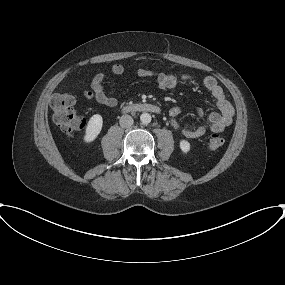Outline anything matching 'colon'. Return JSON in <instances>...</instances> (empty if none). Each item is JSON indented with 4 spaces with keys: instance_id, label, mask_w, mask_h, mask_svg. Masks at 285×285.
<instances>
[{
    "instance_id": "5ec220e1",
    "label": "colon",
    "mask_w": 285,
    "mask_h": 285,
    "mask_svg": "<svg viewBox=\"0 0 285 285\" xmlns=\"http://www.w3.org/2000/svg\"><path fill=\"white\" fill-rule=\"evenodd\" d=\"M117 73L122 69L117 67ZM75 95L66 93L54 94L50 99V106L53 110V120L60 130L68 136H73L85 127V120L74 109ZM224 144V139L218 134H212L208 140V146L212 150L219 149Z\"/></svg>"
}]
</instances>
